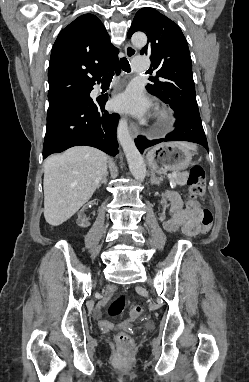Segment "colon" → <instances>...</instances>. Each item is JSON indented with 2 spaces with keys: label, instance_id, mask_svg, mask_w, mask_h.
Segmentation results:
<instances>
[{
  "label": "colon",
  "instance_id": "obj_1",
  "mask_svg": "<svg viewBox=\"0 0 249 382\" xmlns=\"http://www.w3.org/2000/svg\"><path fill=\"white\" fill-rule=\"evenodd\" d=\"M187 184L189 186V194L186 199V207L188 209H199L198 199L204 194L206 186L205 170L201 166H193L190 169ZM213 223V214L210 209H202V232H207ZM126 299L123 294L116 296L107 306V314L110 317L119 316L125 308ZM131 315L137 319H145L146 312L143 307L135 306L131 311ZM110 322H102V329H110ZM116 341L122 348H131L133 345L132 338L125 332L116 335Z\"/></svg>",
  "mask_w": 249,
  "mask_h": 382
}]
</instances>
